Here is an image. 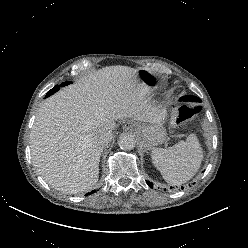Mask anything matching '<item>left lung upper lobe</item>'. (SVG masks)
Here are the masks:
<instances>
[{
	"mask_svg": "<svg viewBox=\"0 0 248 248\" xmlns=\"http://www.w3.org/2000/svg\"><path fill=\"white\" fill-rule=\"evenodd\" d=\"M182 101H200L199 98L194 96H183L181 98Z\"/></svg>",
	"mask_w": 248,
	"mask_h": 248,
	"instance_id": "5c2ea615",
	"label": "left lung upper lobe"
}]
</instances>
